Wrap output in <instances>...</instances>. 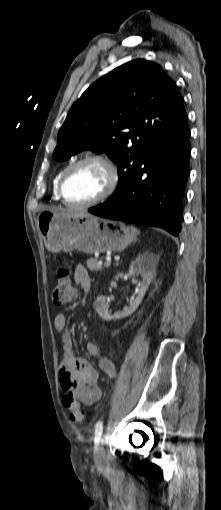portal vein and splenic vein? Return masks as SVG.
<instances>
[{
	"mask_svg": "<svg viewBox=\"0 0 221 510\" xmlns=\"http://www.w3.org/2000/svg\"><path fill=\"white\" fill-rule=\"evenodd\" d=\"M99 264H102V262H99ZM104 265H105L106 267H109V266L111 265V259H110V258L106 259V261H105Z\"/></svg>",
	"mask_w": 221,
	"mask_h": 510,
	"instance_id": "obj_1",
	"label": "portal vein and splenic vein"
}]
</instances>
